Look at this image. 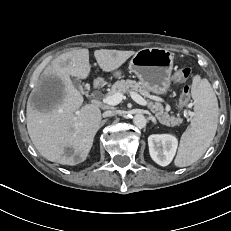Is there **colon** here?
I'll return each mask as SVG.
<instances>
[{
  "label": "colon",
  "mask_w": 231,
  "mask_h": 231,
  "mask_svg": "<svg viewBox=\"0 0 231 231\" xmlns=\"http://www.w3.org/2000/svg\"><path fill=\"white\" fill-rule=\"evenodd\" d=\"M191 74L190 68H183L176 72L175 80L179 83H185ZM190 101V87L185 85L179 97V105L185 107Z\"/></svg>",
  "instance_id": "5ec220e1"
}]
</instances>
